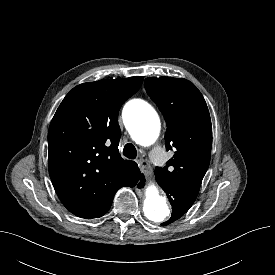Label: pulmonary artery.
<instances>
[{
	"label": "pulmonary artery",
	"instance_id": "1",
	"mask_svg": "<svg viewBox=\"0 0 275 275\" xmlns=\"http://www.w3.org/2000/svg\"><path fill=\"white\" fill-rule=\"evenodd\" d=\"M153 159L156 163H160L161 161V150L159 148H155L152 152Z\"/></svg>",
	"mask_w": 275,
	"mask_h": 275
}]
</instances>
